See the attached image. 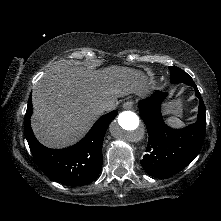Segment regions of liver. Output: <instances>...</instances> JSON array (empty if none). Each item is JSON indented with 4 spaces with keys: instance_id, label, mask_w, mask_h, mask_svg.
Wrapping results in <instances>:
<instances>
[{
    "instance_id": "1",
    "label": "liver",
    "mask_w": 221,
    "mask_h": 221,
    "mask_svg": "<svg viewBox=\"0 0 221 221\" xmlns=\"http://www.w3.org/2000/svg\"><path fill=\"white\" fill-rule=\"evenodd\" d=\"M150 82L139 70L109 66L101 70L57 63L36 83L31 125L37 139L48 147L61 148L83 137L99 117L103 103L117 106L118 98L130 94L144 97ZM168 111L179 113L177 103Z\"/></svg>"
}]
</instances>
